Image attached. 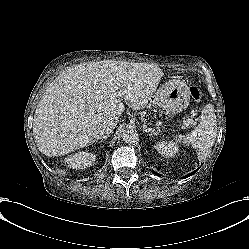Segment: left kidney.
Listing matches in <instances>:
<instances>
[{"label":"left kidney","mask_w":249,"mask_h":249,"mask_svg":"<svg viewBox=\"0 0 249 249\" xmlns=\"http://www.w3.org/2000/svg\"><path fill=\"white\" fill-rule=\"evenodd\" d=\"M154 148L164 158L173 157L179 150L178 145L171 141H159L155 144Z\"/></svg>","instance_id":"left-kidney-1"}]
</instances>
